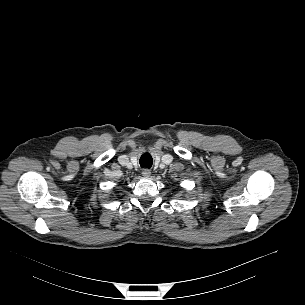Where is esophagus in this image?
<instances>
[{
    "label": "esophagus",
    "mask_w": 305,
    "mask_h": 305,
    "mask_svg": "<svg viewBox=\"0 0 305 305\" xmlns=\"http://www.w3.org/2000/svg\"><path fill=\"white\" fill-rule=\"evenodd\" d=\"M142 175L144 176V177H150V175H151V171L149 170V169H143L142 170Z\"/></svg>",
    "instance_id": "obj_1"
}]
</instances>
